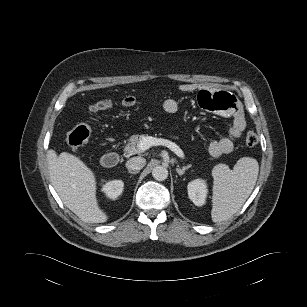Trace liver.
<instances>
[{
  "label": "liver",
  "mask_w": 307,
  "mask_h": 307,
  "mask_svg": "<svg viewBox=\"0 0 307 307\" xmlns=\"http://www.w3.org/2000/svg\"><path fill=\"white\" fill-rule=\"evenodd\" d=\"M50 181L64 205L86 223H104L108 217L96 198L95 175L78 157L50 149L47 152Z\"/></svg>",
  "instance_id": "obj_1"
}]
</instances>
